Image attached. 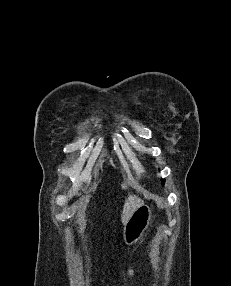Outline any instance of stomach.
<instances>
[{
    "instance_id": "0dacf381",
    "label": "stomach",
    "mask_w": 231,
    "mask_h": 286,
    "mask_svg": "<svg viewBox=\"0 0 231 286\" xmlns=\"http://www.w3.org/2000/svg\"><path fill=\"white\" fill-rule=\"evenodd\" d=\"M152 211L149 206H140L126 223L123 230V240L127 245H133L139 241L151 221Z\"/></svg>"
}]
</instances>
